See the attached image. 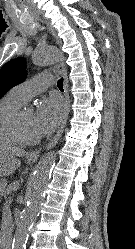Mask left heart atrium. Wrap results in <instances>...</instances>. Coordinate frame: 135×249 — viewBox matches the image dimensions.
Segmentation results:
<instances>
[{
    "mask_svg": "<svg viewBox=\"0 0 135 249\" xmlns=\"http://www.w3.org/2000/svg\"><path fill=\"white\" fill-rule=\"evenodd\" d=\"M64 112L65 104L59 96L45 98L35 114V127L38 134L51 133L60 123Z\"/></svg>",
    "mask_w": 135,
    "mask_h": 249,
    "instance_id": "left-heart-atrium-1",
    "label": "left heart atrium"
}]
</instances>
